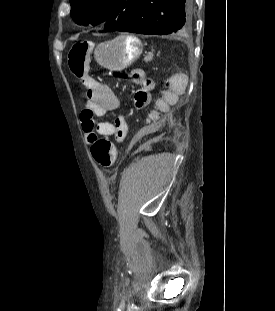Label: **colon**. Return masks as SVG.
<instances>
[{"label": "colon", "instance_id": "colon-1", "mask_svg": "<svg viewBox=\"0 0 275 311\" xmlns=\"http://www.w3.org/2000/svg\"><path fill=\"white\" fill-rule=\"evenodd\" d=\"M90 41H78L73 44L68 53V64L71 72L79 79H84L88 69V55L91 51ZM86 120V119H85ZM91 155L101 167L108 168L115 164L117 152L113 143L106 137L94 136Z\"/></svg>", "mask_w": 275, "mask_h": 311}]
</instances>
